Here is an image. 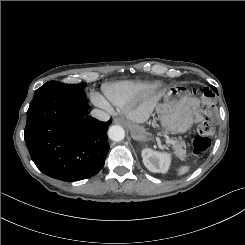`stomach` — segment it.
Segmentation results:
<instances>
[{
  "mask_svg": "<svg viewBox=\"0 0 245 245\" xmlns=\"http://www.w3.org/2000/svg\"><path fill=\"white\" fill-rule=\"evenodd\" d=\"M163 103H157L155 112L158 114L165 133H184L194 122L193 111L187 103V96L182 88L172 87L161 94ZM131 135L135 140L147 141L148 131L135 123H129Z\"/></svg>",
  "mask_w": 245,
  "mask_h": 245,
  "instance_id": "obj_1",
  "label": "stomach"
}]
</instances>
